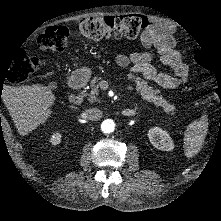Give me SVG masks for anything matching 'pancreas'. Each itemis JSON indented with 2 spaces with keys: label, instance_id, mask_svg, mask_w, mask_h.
I'll list each match as a JSON object with an SVG mask.
<instances>
[{
  "label": "pancreas",
  "instance_id": "obj_1",
  "mask_svg": "<svg viewBox=\"0 0 221 221\" xmlns=\"http://www.w3.org/2000/svg\"><path fill=\"white\" fill-rule=\"evenodd\" d=\"M124 80L129 83L132 82L135 92L143 101L153 103L160 110L164 109L165 114L169 117H172L176 114V107L172 104L168 105L167 99L161 95L159 90L153 89L151 86H149V83L146 79L137 76L134 77V74L130 72L125 74V72L121 70L110 72L97 79H89L87 85L89 88H91L90 101L94 102L96 100V88L101 89L112 82H121Z\"/></svg>",
  "mask_w": 221,
  "mask_h": 221
}]
</instances>
